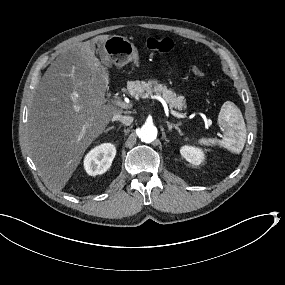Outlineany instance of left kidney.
Instances as JSON below:
<instances>
[{"instance_id":"5707ae66","label":"left kidney","mask_w":285,"mask_h":285,"mask_svg":"<svg viewBox=\"0 0 285 285\" xmlns=\"http://www.w3.org/2000/svg\"><path fill=\"white\" fill-rule=\"evenodd\" d=\"M180 153L183 158L193 165H200L205 160V154L202 149L184 145L180 148Z\"/></svg>"}]
</instances>
